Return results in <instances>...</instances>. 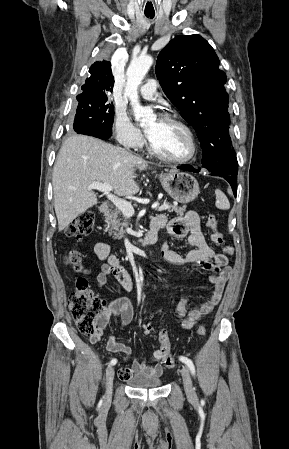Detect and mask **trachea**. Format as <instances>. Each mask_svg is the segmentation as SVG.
Wrapping results in <instances>:
<instances>
[{"label": "trachea", "instance_id": "trachea-1", "mask_svg": "<svg viewBox=\"0 0 289 449\" xmlns=\"http://www.w3.org/2000/svg\"><path fill=\"white\" fill-rule=\"evenodd\" d=\"M145 16H146L147 18L152 19V18H154L155 14H154V13H145Z\"/></svg>", "mask_w": 289, "mask_h": 449}]
</instances>
